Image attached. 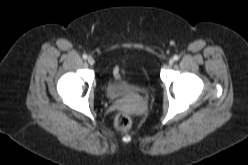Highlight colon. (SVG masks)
Instances as JSON below:
<instances>
[{"mask_svg":"<svg viewBox=\"0 0 248 165\" xmlns=\"http://www.w3.org/2000/svg\"><path fill=\"white\" fill-rule=\"evenodd\" d=\"M131 123L132 119L130 115L124 112L117 114L114 121L116 129L120 131L127 130L131 126Z\"/></svg>","mask_w":248,"mask_h":165,"instance_id":"5ec220e1","label":"colon"}]
</instances>
